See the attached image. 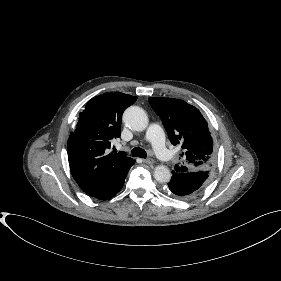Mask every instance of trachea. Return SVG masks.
Returning <instances> with one entry per match:
<instances>
[{
    "label": "trachea",
    "mask_w": 281,
    "mask_h": 281,
    "mask_svg": "<svg viewBox=\"0 0 281 281\" xmlns=\"http://www.w3.org/2000/svg\"><path fill=\"white\" fill-rule=\"evenodd\" d=\"M132 156L133 157H141V158H146L147 157V153L144 149L136 147L134 148L132 151Z\"/></svg>",
    "instance_id": "1"
}]
</instances>
